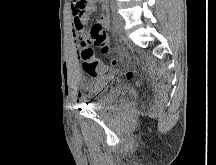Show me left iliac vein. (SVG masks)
<instances>
[{"mask_svg":"<svg viewBox=\"0 0 216 165\" xmlns=\"http://www.w3.org/2000/svg\"><path fill=\"white\" fill-rule=\"evenodd\" d=\"M113 23L115 28L119 31L122 32L124 30V20L121 15L118 13H115L113 16Z\"/></svg>","mask_w":216,"mask_h":165,"instance_id":"1","label":"left iliac vein"}]
</instances>
